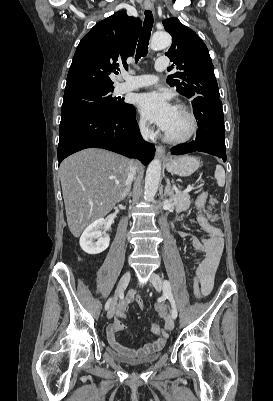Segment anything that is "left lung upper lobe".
<instances>
[{
	"mask_svg": "<svg viewBox=\"0 0 273 401\" xmlns=\"http://www.w3.org/2000/svg\"><path fill=\"white\" fill-rule=\"evenodd\" d=\"M162 23L172 36V45L165 53L173 61L168 71L177 69L168 76L167 83L187 98H219L214 66L204 42L177 18H169Z\"/></svg>",
	"mask_w": 273,
	"mask_h": 401,
	"instance_id": "1",
	"label": "left lung upper lobe"
}]
</instances>
